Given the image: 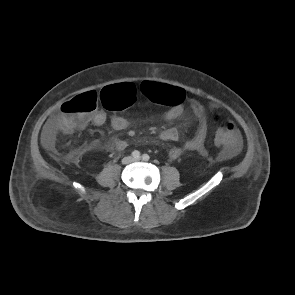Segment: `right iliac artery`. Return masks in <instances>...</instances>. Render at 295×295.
I'll return each instance as SVG.
<instances>
[{"instance_id": "82829eb1", "label": "right iliac artery", "mask_w": 295, "mask_h": 295, "mask_svg": "<svg viewBox=\"0 0 295 295\" xmlns=\"http://www.w3.org/2000/svg\"><path fill=\"white\" fill-rule=\"evenodd\" d=\"M132 156H133L135 159H138V158H140V152L137 151V150H135V151L132 152Z\"/></svg>"}]
</instances>
